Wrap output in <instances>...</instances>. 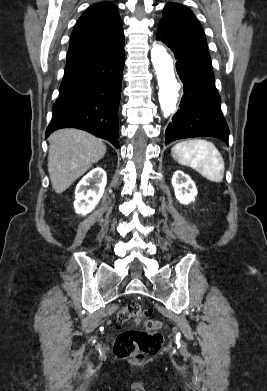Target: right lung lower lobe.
Returning a JSON list of instances; mask_svg holds the SVG:
<instances>
[{"label": "right lung lower lobe", "instance_id": "right-lung-lower-lobe-1", "mask_svg": "<svg viewBox=\"0 0 267 391\" xmlns=\"http://www.w3.org/2000/svg\"><path fill=\"white\" fill-rule=\"evenodd\" d=\"M124 46L65 67L46 137L61 128H78L118 143Z\"/></svg>", "mask_w": 267, "mask_h": 391}]
</instances>
